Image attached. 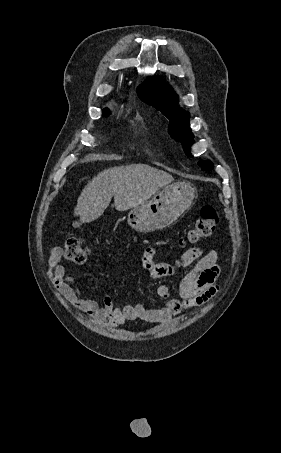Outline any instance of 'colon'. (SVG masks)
<instances>
[{
    "instance_id": "colon-1",
    "label": "colon",
    "mask_w": 281,
    "mask_h": 453,
    "mask_svg": "<svg viewBox=\"0 0 281 453\" xmlns=\"http://www.w3.org/2000/svg\"><path fill=\"white\" fill-rule=\"evenodd\" d=\"M216 225L217 218L214 206L210 203H203L201 205V214L188 233L190 244L197 245L208 238ZM64 252L67 260L84 262L90 251L82 237H68L65 241Z\"/></svg>"
}]
</instances>
